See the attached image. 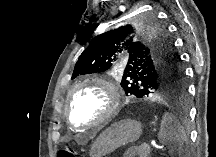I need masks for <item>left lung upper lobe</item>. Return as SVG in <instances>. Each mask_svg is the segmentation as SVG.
<instances>
[{
    "label": "left lung upper lobe",
    "mask_w": 216,
    "mask_h": 157,
    "mask_svg": "<svg viewBox=\"0 0 216 157\" xmlns=\"http://www.w3.org/2000/svg\"><path fill=\"white\" fill-rule=\"evenodd\" d=\"M93 38L80 55L72 75L117 69L126 95L137 98L186 95L181 59L155 15H132Z\"/></svg>",
    "instance_id": "1"
}]
</instances>
